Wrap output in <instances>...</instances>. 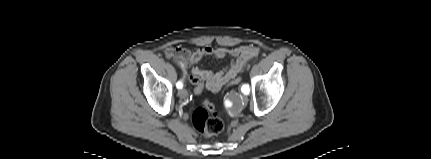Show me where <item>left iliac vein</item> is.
<instances>
[{"label":"left iliac vein","mask_w":431,"mask_h":159,"mask_svg":"<svg viewBox=\"0 0 431 159\" xmlns=\"http://www.w3.org/2000/svg\"><path fill=\"white\" fill-rule=\"evenodd\" d=\"M241 101L243 104H246L248 102L247 96L243 95Z\"/></svg>","instance_id":"4c4485c4"}]
</instances>
